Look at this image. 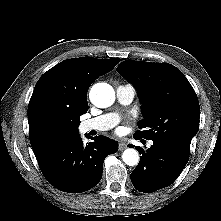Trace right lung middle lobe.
Returning a JSON list of instances; mask_svg holds the SVG:
<instances>
[{"instance_id": "dd1d6c3e", "label": "right lung middle lobe", "mask_w": 221, "mask_h": 221, "mask_svg": "<svg viewBox=\"0 0 221 221\" xmlns=\"http://www.w3.org/2000/svg\"><path fill=\"white\" fill-rule=\"evenodd\" d=\"M79 123H80V119H77V120L75 121V127H76V128L78 127Z\"/></svg>"}]
</instances>
